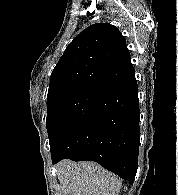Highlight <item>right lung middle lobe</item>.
Returning a JSON list of instances; mask_svg holds the SVG:
<instances>
[{
  "instance_id": "obj_1",
  "label": "right lung middle lobe",
  "mask_w": 178,
  "mask_h": 195,
  "mask_svg": "<svg viewBox=\"0 0 178 195\" xmlns=\"http://www.w3.org/2000/svg\"><path fill=\"white\" fill-rule=\"evenodd\" d=\"M96 95L92 91H74L47 99L46 125L51 154L77 125Z\"/></svg>"
}]
</instances>
